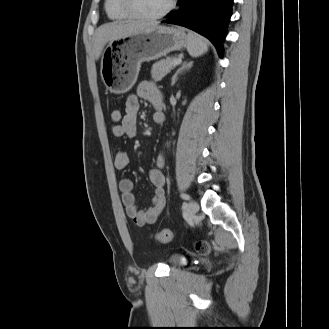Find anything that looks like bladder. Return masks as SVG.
I'll return each mask as SVG.
<instances>
[{
  "label": "bladder",
  "instance_id": "bladder-1",
  "mask_svg": "<svg viewBox=\"0 0 329 329\" xmlns=\"http://www.w3.org/2000/svg\"><path fill=\"white\" fill-rule=\"evenodd\" d=\"M170 266H178L182 263V257L179 254H173L168 258Z\"/></svg>",
  "mask_w": 329,
  "mask_h": 329
}]
</instances>
